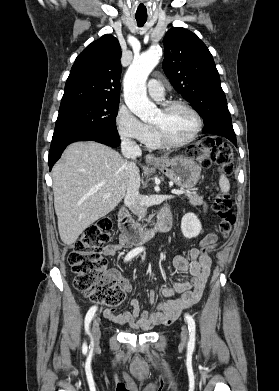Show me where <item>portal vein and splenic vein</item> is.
<instances>
[{
  "label": "portal vein and splenic vein",
  "instance_id": "portal-vein-and-splenic-vein-1",
  "mask_svg": "<svg viewBox=\"0 0 279 391\" xmlns=\"http://www.w3.org/2000/svg\"><path fill=\"white\" fill-rule=\"evenodd\" d=\"M171 193H172V194H177V195H179V194H183L184 192L181 191V190L173 189V190L171 191ZM110 195H111V193H108V194L105 195V197H108V196H110Z\"/></svg>",
  "mask_w": 279,
  "mask_h": 391
}]
</instances>
